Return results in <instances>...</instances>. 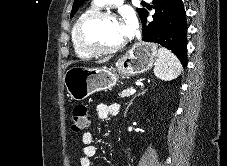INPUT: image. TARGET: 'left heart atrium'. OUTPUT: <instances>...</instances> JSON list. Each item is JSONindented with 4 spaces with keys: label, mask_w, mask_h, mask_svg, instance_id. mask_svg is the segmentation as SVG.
<instances>
[{
    "label": "left heart atrium",
    "mask_w": 227,
    "mask_h": 166,
    "mask_svg": "<svg viewBox=\"0 0 227 166\" xmlns=\"http://www.w3.org/2000/svg\"><path fill=\"white\" fill-rule=\"evenodd\" d=\"M137 27V21L134 15H129L126 22L124 23V29L126 36L132 34Z\"/></svg>",
    "instance_id": "left-heart-atrium-1"
}]
</instances>
